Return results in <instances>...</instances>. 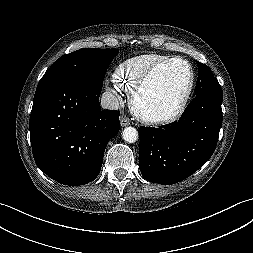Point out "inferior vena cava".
I'll use <instances>...</instances> for the list:
<instances>
[{
	"label": "inferior vena cava",
	"mask_w": 253,
	"mask_h": 253,
	"mask_svg": "<svg viewBox=\"0 0 253 253\" xmlns=\"http://www.w3.org/2000/svg\"><path fill=\"white\" fill-rule=\"evenodd\" d=\"M100 103L103 109L117 110L119 108V100L117 96L109 91L102 94Z\"/></svg>",
	"instance_id": "obj_1"
}]
</instances>
